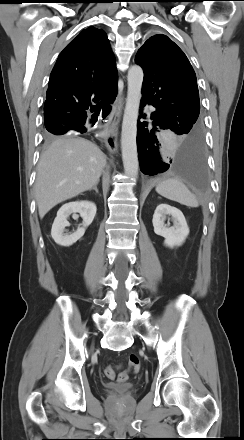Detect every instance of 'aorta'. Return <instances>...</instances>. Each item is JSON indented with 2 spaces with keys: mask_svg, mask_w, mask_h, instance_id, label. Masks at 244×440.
I'll return each instance as SVG.
<instances>
[{
  "mask_svg": "<svg viewBox=\"0 0 244 440\" xmlns=\"http://www.w3.org/2000/svg\"><path fill=\"white\" fill-rule=\"evenodd\" d=\"M143 77V70L140 66L130 67L127 76L128 91L121 132L123 165L125 173L130 179H136L138 176L136 136Z\"/></svg>",
  "mask_w": 244,
  "mask_h": 440,
  "instance_id": "obj_1",
  "label": "aorta"
}]
</instances>
